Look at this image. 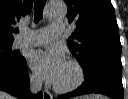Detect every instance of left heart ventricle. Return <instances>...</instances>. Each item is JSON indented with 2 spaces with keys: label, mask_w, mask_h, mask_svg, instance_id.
<instances>
[{
  "label": "left heart ventricle",
  "mask_w": 128,
  "mask_h": 99,
  "mask_svg": "<svg viewBox=\"0 0 128 99\" xmlns=\"http://www.w3.org/2000/svg\"><path fill=\"white\" fill-rule=\"evenodd\" d=\"M76 76L77 74L75 69L68 63H66L61 75L59 76L55 84L59 86H68L75 81Z\"/></svg>",
  "instance_id": "left-heart-ventricle-1"
}]
</instances>
